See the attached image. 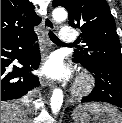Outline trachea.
<instances>
[{"label": "trachea", "mask_w": 122, "mask_h": 123, "mask_svg": "<svg viewBox=\"0 0 122 123\" xmlns=\"http://www.w3.org/2000/svg\"><path fill=\"white\" fill-rule=\"evenodd\" d=\"M49 37L55 44L66 45L65 43L61 42L59 38L52 31H49ZM69 45L73 46L75 44H69Z\"/></svg>", "instance_id": "3493384b"}]
</instances>
